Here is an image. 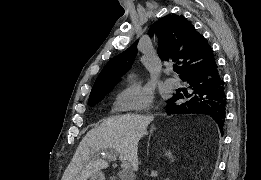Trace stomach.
I'll return each mask as SVG.
<instances>
[{"instance_id": "0dacf381", "label": "stomach", "mask_w": 261, "mask_h": 180, "mask_svg": "<svg viewBox=\"0 0 261 180\" xmlns=\"http://www.w3.org/2000/svg\"><path fill=\"white\" fill-rule=\"evenodd\" d=\"M89 180H106L104 174L101 171L93 173Z\"/></svg>"}]
</instances>
